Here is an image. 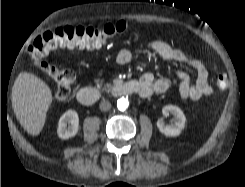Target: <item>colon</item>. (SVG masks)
I'll return each mask as SVG.
<instances>
[{"label":"colon","mask_w":245,"mask_h":187,"mask_svg":"<svg viewBox=\"0 0 245 187\" xmlns=\"http://www.w3.org/2000/svg\"><path fill=\"white\" fill-rule=\"evenodd\" d=\"M127 28L128 24L124 21L107 24L101 28L60 27L37 37L28 46L27 53L35 66L56 82L55 97L63 100L70 95L75 74L71 69L46 62L43 58L62 47L99 48L109 39L125 32ZM216 84L220 90H225L228 86L224 75L217 77Z\"/></svg>","instance_id":"obj_1"}]
</instances>
